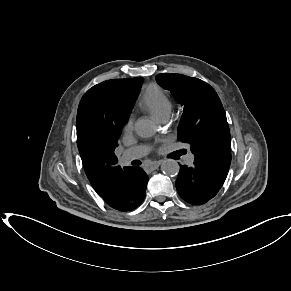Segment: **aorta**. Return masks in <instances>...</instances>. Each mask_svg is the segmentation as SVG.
I'll use <instances>...</instances> for the list:
<instances>
[{"instance_id": "aorta-1", "label": "aorta", "mask_w": 291, "mask_h": 291, "mask_svg": "<svg viewBox=\"0 0 291 291\" xmlns=\"http://www.w3.org/2000/svg\"><path fill=\"white\" fill-rule=\"evenodd\" d=\"M135 133L143 138L152 137L155 132V125L148 119H138L134 126ZM161 170L168 176H175L179 172V165L176 160L166 159L161 165Z\"/></svg>"}]
</instances>
